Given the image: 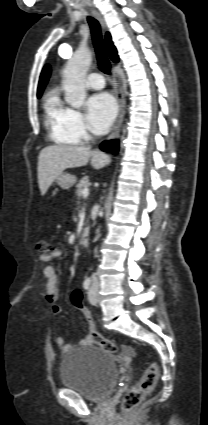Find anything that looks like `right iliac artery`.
I'll list each match as a JSON object with an SVG mask.
<instances>
[{"instance_id": "1", "label": "right iliac artery", "mask_w": 208, "mask_h": 425, "mask_svg": "<svg viewBox=\"0 0 208 425\" xmlns=\"http://www.w3.org/2000/svg\"><path fill=\"white\" fill-rule=\"evenodd\" d=\"M91 279H86L84 282H83V287H84V289H89V287H90V285H91Z\"/></svg>"}]
</instances>
